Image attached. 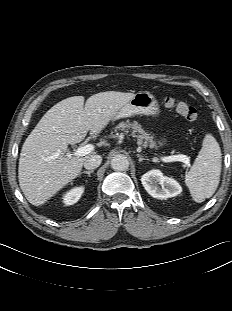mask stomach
I'll return each instance as SVG.
<instances>
[{"instance_id": "1", "label": "stomach", "mask_w": 232, "mask_h": 311, "mask_svg": "<svg viewBox=\"0 0 232 311\" xmlns=\"http://www.w3.org/2000/svg\"><path fill=\"white\" fill-rule=\"evenodd\" d=\"M160 113L159 104L155 97L146 91H140L121 107L113 119L131 117L134 115L157 116Z\"/></svg>"}]
</instances>
